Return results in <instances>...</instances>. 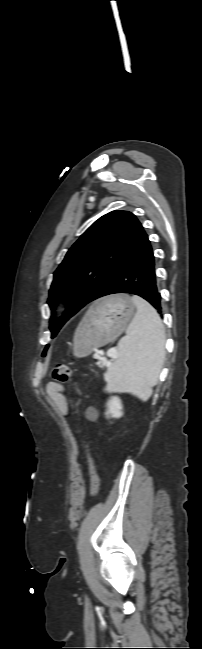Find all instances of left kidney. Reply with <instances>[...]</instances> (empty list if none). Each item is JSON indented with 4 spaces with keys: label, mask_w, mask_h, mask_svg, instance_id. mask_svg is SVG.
<instances>
[{
    "label": "left kidney",
    "mask_w": 202,
    "mask_h": 649,
    "mask_svg": "<svg viewBox=\"0 0 202 649\" xmlns=\"http://www.w3.org/2000/svg\"><path fill=\"white\" fill-rule=\"evenodd\" d=\"M107 418H120L123 415V406L121 400L117 396H112L107 402V411L105 413Z\"/></svg>",
    "instance_id": "left-kidney-1"
}]
</instances>
